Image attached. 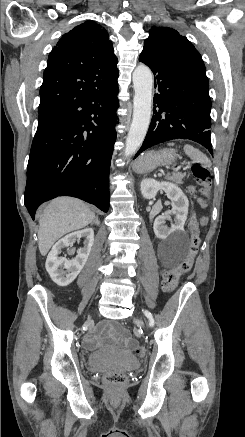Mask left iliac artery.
Here are the masks:
<instances>
[{
  "instance_id": "1",
  "label": "left iliac artery",
  "mask_w": 245,
  "mask_h": 437,
  "mask_svg": "<svg viewBox=\"0 0 245 437\" xmlns=\"http://www.w3.org/2000/svg\"><path fill=\"white\" fill-rule=\"evenodd\" d=\"M144 313L147 316V318L149 319L150 326H153L154 325V319H153L152 314L149 311H147V310H145Z\"/></svg>"
}]
</instances>
